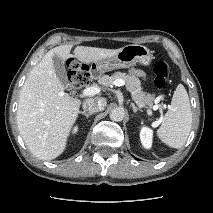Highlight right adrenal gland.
Returning a JSON list of instances; mask_svg holds the SVG:
<instances>
[{"instance_id":"2a0ac1e0","label":"right adrenal gland","mask_w":213,"mask_h":213,"mask_svg":"<svg viewBox=\"0 0 213 213\" xmlns=\"http://www.w3.org/2000/svg\"><path fill=\"white\" fill-rule=\"evenodd\" d=\"M79 113L82 114V115H84L86 118H88L89 116L92 115V113L86 112V111H81V112H79Z\"/></svg>"}]
</instances>
